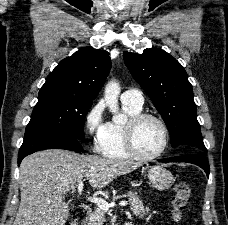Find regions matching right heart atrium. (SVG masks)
I'll list each match as a JSON object with an SVG mask.
<instances>
[{"label": "right heart atrium", "mask_w": 228, "mask_h": 225, "mask_svg": "<svg viewBox=\"0 0 228 225\" xmlns=\"http://www.w3.org/2000/svg\"><path fill=\"white\" fill-rule=\"evenodd\" d=\"M109 122L105 119V106L102 100L93 104L84 115V127L87 135L97 147L106 134Z\"/></svg>", "instance_id": "right-heart-atrium-1"}]
</instances>
